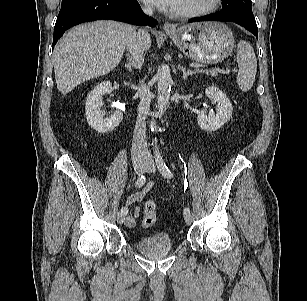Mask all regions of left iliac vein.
Listing matches in <instances>:
<instances>
[{
  "mask_svg": "<svg viewBox=\"0 0 307 301\" xmlns=\"http://www.w3.org/2000/svg\"><path fill=\"white\" fill-rule=\"evenodd\" d=\"M146 172H154L155 171V163L150 154H147V162L145 164ZM185 222L187 225H191L194 221V216L191 212L184 214Z\"/></svg>",
  "mask_w": 307,
  "mask_h": 301,
  "instance_id": "left-iliac-vein-1",
  "label": "left iliac vein"
}]
</instances>
